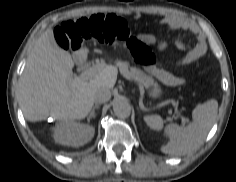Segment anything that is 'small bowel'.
Returning <instances> with one entry per match:
<instances>
[{
  "label": "small bowel",
  "instance_id": "c3829d8e",
  "mask_svg": "<svg viewBox=\"0 0 236 182\" xmlns=\"http://www.w3.org/2000/svg\"><path fill=\"white\" fill-rule=\"evenodd\" d=\"M163 23L168 25L172 30H187L189 28L188 24L176 17V16H168L163 20ZM140 39L145 43H157L158 47L161 51L167 50V43L161 40H158L155 36L151 34H143L140 36ZM205 52V44L203 42L198 43L189 53H187L183 58L177 61L178 65H187L198 58H200ZM185 79L179 78L177 79L178 84H183Z\"/></svg>",
  "mask_w": 236,
  "mask_h": 182
}]
</instances>
